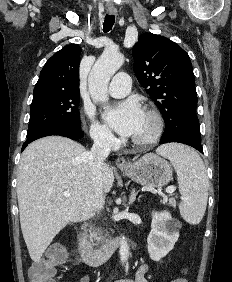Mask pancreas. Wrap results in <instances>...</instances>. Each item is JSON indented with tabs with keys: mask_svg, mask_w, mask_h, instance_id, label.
<instances>
[{
	"mask_svg": "<svg viewBox=\"0 0 232 282\" xmlns=\"http://www.w3.org/2000/svg\"><path fill=\"white\" fill-rule=\"evenodd\" d=\"M169 205L170 206H172V207H174V208H176V200L174 199V198H170L169 199ZM89 233H90V239L93 241H97V243H99V242H101L103 239H104V237L102 236V234L101 233H99L98 231H96L95 229H90L89 230Z\"/></svg>",
	"mask_w": 232,
	"mask_h": 282,
	"instance_id": "cf45deb5",
	"label": "pancreas"
}]
</instances>
